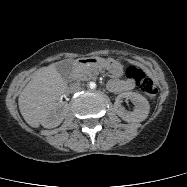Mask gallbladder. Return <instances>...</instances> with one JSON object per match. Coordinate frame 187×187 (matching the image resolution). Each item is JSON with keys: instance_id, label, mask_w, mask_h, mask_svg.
Returning <instances> with one entry per match:
<instances>
[{"instance_id": "gallbladder-1", "label": "gallbladder", "mask_w": 187, "mask_h": 187, "mask_svg": "<svg viewBox=\"0 0 187 187\" xmlns=\"http://www.w3.org/2000/svg\"><path fill=\"white\" fill-rule=\"evenodd\" d=\"M73 64L71 61H60L56 64V69L60 73V75L67 79L72 71Z\"/></svg>"}]
</instances>
